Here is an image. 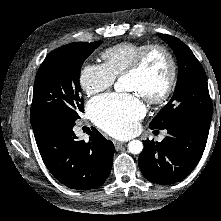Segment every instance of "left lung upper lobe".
<instances>
[{
  "label": "left lung upper lobe",
  "mask_w": 221,
  "mask_h": 221,
  "mask_svg": "<svg viewBox=\"0 0 221 221\" xmlns=\"http://www.w3.org/2000/svg\"><path fill=\"white\" fill-rule=\"evenodd\" d=\"M173 49L178 61V79L173 97L150 124L165 129L183 120L211 121L212 102L203 67L188 46L176 37L158 34Z\"/></svg>",
  "instance_id": "left-lung-upper-lobe-1"
}]
</instances>
